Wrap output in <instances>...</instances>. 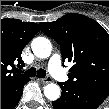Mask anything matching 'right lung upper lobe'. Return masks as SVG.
<instances>
[{
    "instance_id": "1",
    "label": "right lung upper lobe",
    "mask_w": 109,
    "mask_h": 109,
    "mask_svg": "<svg viewBox=\"0 0 109 109\" xmlns=\"http://www.w3.org/2000/svg\"><path fill=\"white\" fill-rule=\"evenodd\" d=\"M38 30L36 23L1 19V90L26 78L22 74L11 73L7 67H14L15 62L24 64L21 58L22 50Z\"/></svg>"
}]
</instances>
